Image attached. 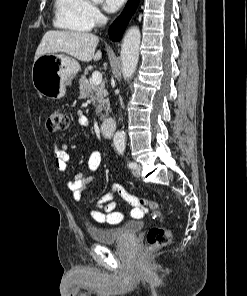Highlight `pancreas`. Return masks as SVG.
<instances>
[{"label": "pancreas", "mask_w": 247, "mask_h": 296, "mask_svg": "<svg viewBox=\"0 0 247 296\" xmlns=\"http://www.w3.org/2000/svg\"><path fill=\"white\" fill-rule=\"evenodd\" d=\"M80 85V95L82 98L93 97L96 100L97 109L96 113L100 117V119H104L106 116L102 114V111H106V115H108V111L110 110L109 99L107 98L108 92L105 88V84L93 85L92 82L86 78V76H82L79 80Z\"/></svg>", "instance_id": "cf45deb5"}]
</instances>
